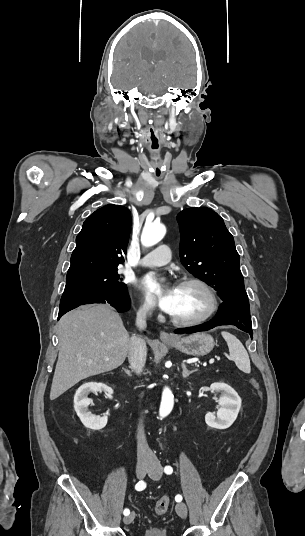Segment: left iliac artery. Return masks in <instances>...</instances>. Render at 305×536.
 I'll list each match as a JSON object with an SVG mask.
<instances>
[{
  "label": "left iliac artery",
  "instance_id": "left-iliac-artery-1",
  "mask_svg": "<svg viewBox=\"0 0 305 536\" xmlns=\"http://www.w3.org/2000/svg\"><path fill=\"white\" fill-rule=\"evenodd\" d=\"M164 472H165L166 474H171V473L173 472V469H172L171 466H166V467L164 468ZM175 500H176V502H181V501H182V496H181V495H177V496L175 497Z\"/></svg>",
  "mask_w": 305,
  "mask_h": 536
}]
</instances>
